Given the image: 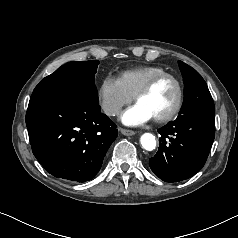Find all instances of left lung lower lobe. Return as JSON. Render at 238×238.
Masks as SVG:
<instances>
[{
  "instance_id": "left-lung-lower-lobe-1",
  "label": "left lung lower lobe",
  "mask_w": 238,
  "mask_h": 238,
  "mask_svg": "<svg viewBox=\"0 0 238 238\" xmlns=\"http://www.w3.org/2000/svg\"><path fill=\"white\" fill-rule=\"evenodd\" d=\"M159 149L151 170L165 182L195 175L204 166L215 136V115L177 118L158 130Z\"/></svg>"
}]
</instances>
